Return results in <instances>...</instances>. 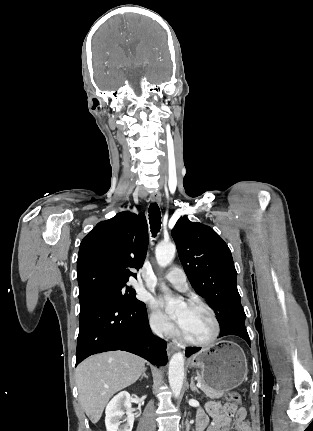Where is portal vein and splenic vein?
Masks as SVG:
<instances>
[{
  "label": "portal vein and splenic vein",
  "instance_id": "obj_1",
  "mask_svg": "<svg viewBox=\"0 0 313 431\" xmlns=\"http://www.w3.org/2000/svg\"><path fill=\"white\" fill-rule=\"evenodd\" d=\"M197 387L201 388L202 384L200 382L197 383Z\"/></svg>",
  "mask_w": 313,
  "mask_h": 431
}]
</instances>
